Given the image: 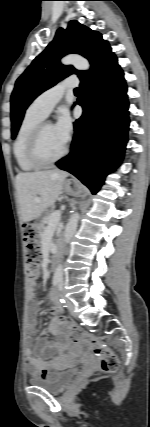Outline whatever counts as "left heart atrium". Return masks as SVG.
Listing matches in <instances>:
<instances>
[{"instance_id":"obj_1","label":"left heart atrium","mask_w":150,"mask_h":427,"mask_svg":"<svg viewBox=\"0 0 150 427\" xmlns=\"http://www.w3.org/2000/svg\"><path fill=\"white\" fill-rule=\"evenodd\" d=\"M54 127L62 142L67 144L73 131L72 120L69 114L67 112H62Z\"/></svg>"}]
</instances>
